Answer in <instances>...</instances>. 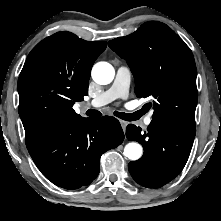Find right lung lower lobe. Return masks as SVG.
Here are the masks:
<instances>
[{
    "label": "right lung lower lobe",
    "mask_w": 221,
    "mask_h": 221,
    "mask_svg": "<svg viewBox=\"0 0 221 221\" xmlns=\"http://www.w3.org/2000/svg\"><path fill=\"white\" fill-rule=\"evenodd\" d=\"M123 140L116 118H82L57 126L27 149L48 180L65 189H77L98 176L101 155Z\"/></svg>",
    "instance_id": "right-lung-lower-lobe-1"
}]
</instances>
